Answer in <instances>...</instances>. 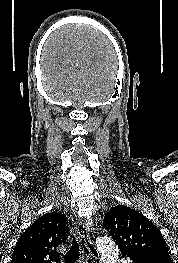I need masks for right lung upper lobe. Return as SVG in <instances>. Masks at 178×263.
I'll return each instance as SVG.
<instances>
[{"label": "right lung upper lobe", "mask_w": 178, "mask_h": 263, "mask_svg": "<svg viewBox=\"0 0 178 263\" xmlns=\"http://www.w3.org/2000/svg\"><path fill=\"white\" fill-rule=\"evenodd\" d=\"M66 221L65 215L56 212L39 217L20 236L11 263H60L57 248L70 233Z\"/></svg>", "instance_id": "1"}]
</instances>
